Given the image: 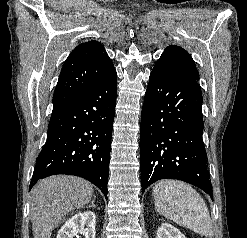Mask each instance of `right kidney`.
<instances>
[{
    "instance_id": "1",
    "label": "right kidney",
    "mask_w": 247,
    "mask_h": 238,
    "mask_svg": "<svg viewBox=\"0 0 247 238\" xmlns=\"http://www.w3.org/2000/svg\"><path fill=\"white\" fill-rule=\"evenodd\" d=\"M96 216L92 211L80 212L72 216L58 231L56 238H73L77 231H83L85 238H95Z\"/></svg>"
}]
</instances>
